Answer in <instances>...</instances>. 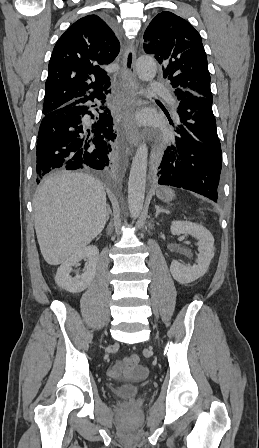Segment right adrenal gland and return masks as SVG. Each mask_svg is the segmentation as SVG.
Instances as JSON below:
<instances>
[{
	"mask_svg": "<svg viewBox=\"0 0 259 448\" xmlns=\"http://www.w3.org/2000/svg\"><path fill=\"white\" fill-rule=\"evenodd\" d=\"M111 210L110 208H108V216H107V220H109V214H110Z\"/></svg>",
	"mask_w": 259,
	"mask_h": 448,
	"instance_id": "1",
	"label": "right adrenal gland"
}]
</instances>
